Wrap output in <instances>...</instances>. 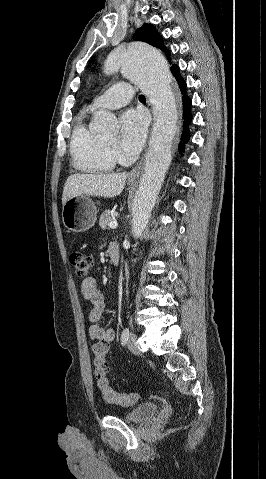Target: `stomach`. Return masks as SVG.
I'll use <instances>...</instances> for the list:
<instances>
[{"instance_id": "stomach-1", "label": "stomach", "mask_w": 266, "mask_h": 479, "mask_svg": "<svg viewBox=\"0 0 266 479\" xmlns=\"http://www.w3.org/2000/svg\"><path fill=\"white\" fill-rule=\"evenodd\" d=\"M129 182L133 183L134 180ZM96 217V206L87 195L69 198L62 208L64 226L75 233L89 230L95 224Z\"/></svg>"}]
</instances>
